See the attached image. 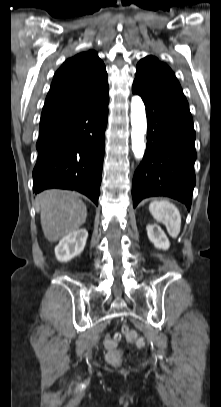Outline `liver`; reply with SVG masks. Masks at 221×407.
<instances>
[{
	"mask_svg": "<svg viewBox=\"0 0 221 407\" xmlns=\"http://www.w3.org/2000/svg\"><path fill=\"white\" fill-rule=\"evenodd\" d=\"M45 238L56 242L78 230L87 217L86 205L75 192L46 190L37 196Z\"/></svg>",
	"mask_w": 221,
	"mask_h": 407,
	"instance_id": "obj_1",
	"label": "liver"
}]
</instances>
